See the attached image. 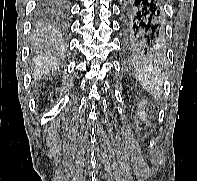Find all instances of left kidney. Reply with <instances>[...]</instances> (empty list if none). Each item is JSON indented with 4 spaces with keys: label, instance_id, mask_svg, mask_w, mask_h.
<instances>
[{
    "label": "left kidney",
    "instance_id": "1",
    "mask_svg": "<svg viewBox=\"0 0 197 181\" xmlns=\"http://www.w3.org/2000/svg\"><path fill=\"white\" fill-rule=\"evenodd\" d=\"M145 104H147L146 102H140L139 104H138V107L139 108H142ZM138 116H140V118L142 119V121H146L147 119H146V113H145V111L143 110V111H139L138 112Z\"/></svg>",
    "mask_w": 197,
    "mask_h": 181
}]
</instances>
